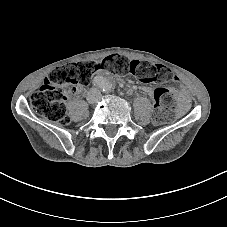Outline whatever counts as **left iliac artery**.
<instances>
[{"label": "left iliac artery", "mask_w": 227, "mask_h": 227, "mask_svg": "<svg viewBox=\"0 0 227 227\" xmlns=\"http://www.w3.org/2000/svg\"><path fill=\"white\" fill-rule=\"evenodd\" d=\"M112 90V85L109 82H105L103 85V91L108 93Z\"/></svg>", "instance_id": "obj_1"}]
</instances>
